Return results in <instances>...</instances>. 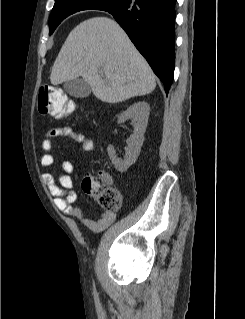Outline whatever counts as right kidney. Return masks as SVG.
I'll use <instances>...</instances> for the list:
<instances>
[{
  "mask_svg": "<svg viewBox=\"0 0 245 319\" xmlns=\"http://www.w3.org/2000/svg\"><path fill=\"white\" fill-rule=\"evenodd\" d=\"M149 113V104L145 101H139L131 105L118 117V124L124 123L129 119L135 122L134 132L127 140L126 153L123 160L117 158L113 145H109L107 148L108 155L114 167L121 173L127 171V169L135 163L140 154Z\"/></svg>",
  "mask_w": 245,
  "mask_h": 319,
  "instance_id": "obj_1",
  "label": "right kidney"
}]
</instances>
